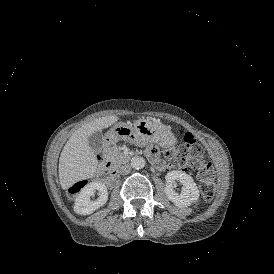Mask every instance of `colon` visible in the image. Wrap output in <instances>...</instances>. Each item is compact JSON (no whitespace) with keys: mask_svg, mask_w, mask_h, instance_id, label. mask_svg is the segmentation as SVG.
<instances>
[{"mask_svg":"<svg viewBox=\"0 0 274 274\" xmlns=\"http://www.w3.org/2000/svg\"><path fill=\"white\" fill-rule=\"evenodd\" d=\"M165 157L170 159L176 168L185 166L197 170L200 182L201 195L206 200H211L215 195V175L212 165L204 160V148L201 143L194 140L191 143L183 142L175 148L165 152ZM89 181L87 176L81 180H71L68 188L70 195L78 193L80 189H88Z\"/></svg>","mask_w":274,"mask_h":274,"instance_id":"5ec220e1","label":"colon"}]
</instances>
